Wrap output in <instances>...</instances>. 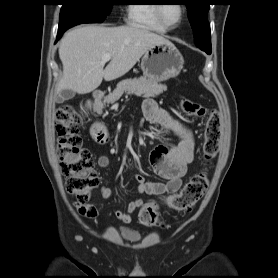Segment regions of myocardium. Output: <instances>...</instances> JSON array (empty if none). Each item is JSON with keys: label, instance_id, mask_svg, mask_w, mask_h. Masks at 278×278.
I'll use <instances>...</instances> for the list:
<instances>
[{"label": "myocardium", "instance_id": "1", "mask_svg": "<svg viewBox=\"0 0 278 278\" xmlns=\"http://www.w3.org/2000/svg\"><path fill=\"white\" fill-rule=\"evenodd\" d=\"M163 6L164 5H161V4L156 6L155 12H156V17H157L158 21L166 29H174V28L178 27L182 23V21L184 20L185 15H186V7H185V5H183V4L179 5L180 8H181V16H180V18H179V20H178V22L176 24H170V23H168L166 21V19L163 16Z\"/></svg>", "mask_w": 278, "mask_h": 278}]
</instances>
